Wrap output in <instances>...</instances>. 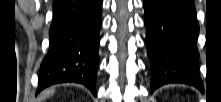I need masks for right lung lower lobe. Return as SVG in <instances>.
Returning <instances> with one entry per match:
<instances>
[{"label":"right lung lower lobe","instance_id":"obj_1","mask_svg":"<svg viewBox=\"0 0 221 102\" xmlns=\"http://www.w3.org/2000/svg\"><path fill=\"white\" fill-rule=\"evenodd\" d=\"M53 8L36 94L53 84L76 82L95 96L102 0H55Z\"/></svg>","mask_w":221,"mask_h":102}]
</instances>
